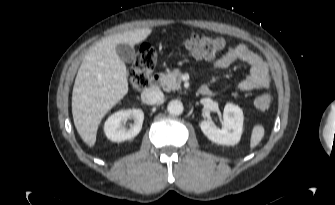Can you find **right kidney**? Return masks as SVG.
<instances>
[{
    "instance_id": "right-kidney-1",
    "label": "right kidney",
    "mask_w": 335,
    "mask_h": 205,
    "mask_svg": "<svg viewBox=\"0 0 335 205\" xmlns=\"http://www.w3.org/2000/svg\"><path fill=\"white\" fill-rule=\"evenodd\" d=\"M127 119H133L134 123L129 127L123 125ZM144 113L141 109L121 110L112 114L104 124V132L108 139L114 142H122L134 138L142 129Z\"/></svg>"
}]
</instances>
